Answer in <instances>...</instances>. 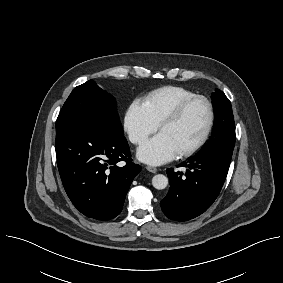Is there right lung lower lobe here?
<instances>
[{"label":"right lung lower lobe","instance_id":"1","mask_svg":"<svg viewBox=\"0 0 283 283\" xmlns=\"http://www.w3.org/2000/svg\"><path fill=\"white\" fill-rule=\"evenodd\" d=\"M60 177L84 215L109 220L122 210L141 167L132 162L123 132L107 120L84 119L56 132ZM125 162V165L120 166Z\"/></svg>","mask_w":283,"mask_h":283}]
</instances>
